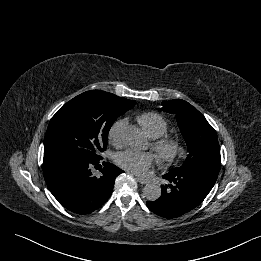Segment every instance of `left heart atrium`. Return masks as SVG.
<instances>
[{
  "label": "left heart atrium",
  "mask_w": 261,
  "mask_h": 261,
  "mask_svg": "<svg viewBox=\"0 0 261 261\" xmlns=\"http://www.w3.org/2000/svg\"><path fill=\"white\" fill-rule=\"evenodd\" d=\"M155 162V156L151 152H138L127 149L116 155V163L123 169L143 175Z\"/></svg>",
  "instance_id": "1"
}]
</instances>
